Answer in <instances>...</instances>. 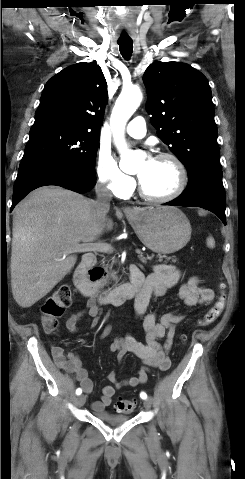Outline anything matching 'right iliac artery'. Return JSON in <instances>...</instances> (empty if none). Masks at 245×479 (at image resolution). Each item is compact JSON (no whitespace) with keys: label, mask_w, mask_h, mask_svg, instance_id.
I'll list each match as a JSON object with an SVG mask.
<instances>
[{"label":"right iliac artery","mask_w":245,"mask_h":479,"mask_svg":"<svg viewBox=\"0 0 245 479\" xmlns=\"http://www.w3.org/2000/svg\"><path fill=\"white\" fill-rule=\"evenodd\" d=\"M81 393H82V389H81V388H78V389L76 390V394H77V395H80Z\"/></svg>","instance_id":"obj_1"}]
</instances>
